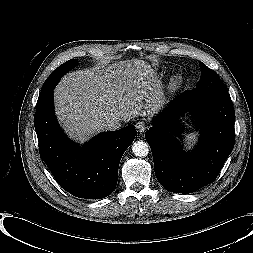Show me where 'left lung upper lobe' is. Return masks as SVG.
Listing matches in <instances>:
<instances>
[{
  "instance_id": "1",
  "label": "left lung upper lobe",
  "mask_w": 253,
  "mask_h": 253,
  "mask_svg": "<svg viewBox=\"0 0 253 253\" xmlns=\"http://www.w3.org/2000/svg\"><path fill=\"white\" fill-rule=\"evenodd\" d=\"M199 65L201 67V77L193 91L202 96L215 90L219 85L222 84V81L217 73L208 68L204 63L199 62Z\"/></svg>"
}]
</instances>
